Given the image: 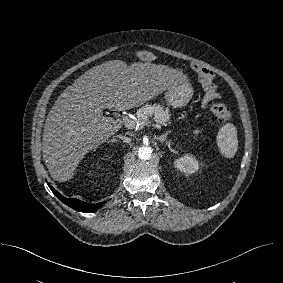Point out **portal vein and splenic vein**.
Segmentation results:
<instances>
[{
    "mask_svg": "<svg viewBox=\"0 0 283 283\" xmlns=\"http://www.w3.org/2000/svg\"><path fill=\"white\" fill-rule=\"evenodd\" d=\"M122 123L124 124V126L128 129H132L135 128L137 125H139L138 123H135V121L131 120L130 118H128L127 116L122 117ZM150 124L152 125V127H154L155 129H161V126L159 124H155L153 122H150Z\"/></svg>",
    "mask_w": 283,
    "mask_h": 283,
    "instance_id": "obj_1",
    "label": "portal vein and splenic vein"
}]
</instances>
